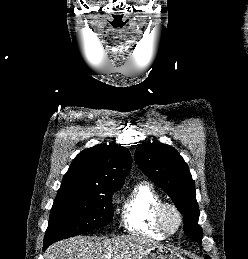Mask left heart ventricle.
<instances>
[{"mask_svg": "<svg viewBox=\"0 0 248 259\" xmlns=\"http://www.w3.org/2000/svg\"><path fill=\"white\" fill-rule=\"evenodd\" d=\"M165 222L170 230H175L178 225V218L172 210H167L165 213Z\"/></svg>", "mask_w": 248, "mask_h": 259, "instance_id": "b2bd125f", "label": "left heart ventricle"}]
</instances>
